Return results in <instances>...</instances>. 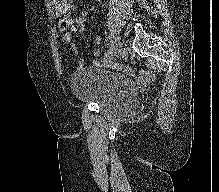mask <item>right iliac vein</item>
<instances>
[{"mask_svg": "<svg viewBox=\"0 0 219 192\" xmlns=\"http://www.w3.org/2000/svg\"><path fill=\"white\" fill-rule=\"evenodd\" d=\"M121 51H122V43H121V41H120L119 38H116L115 44H114V47H113V53H112L111 58H112L113 56H115V57L119 56V54L121 53ZM111 58H110V59H111ZM110 59H109V60H110Z\"/></svg>", "mask_w": 219, "mask_h": 192, "instance_id": "right-iliac-vein-1", "label": "right iliac vein"}]
</instances>
